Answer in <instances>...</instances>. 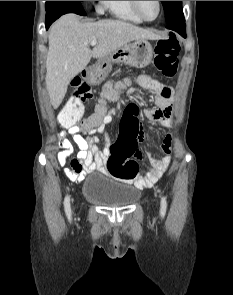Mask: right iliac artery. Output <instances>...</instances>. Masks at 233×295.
Listing matches in <instances>:
<instances>
[{"mask_svg":"<svg viewBox=\"0 0 233 295\" xmlns=\"http://www.w3.org/2000/svg\"><path fill=\"white\" fill-rule=\"evenodd\" d=\"M64 209L68 218L71 217L70 196L67 195L64 200Z\"/></svg>","mask_w":233,"mask_h":295,"instance_id":"82829eb1","label":"right iliac artery"}]
</instances>
